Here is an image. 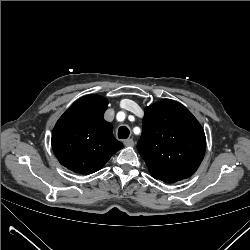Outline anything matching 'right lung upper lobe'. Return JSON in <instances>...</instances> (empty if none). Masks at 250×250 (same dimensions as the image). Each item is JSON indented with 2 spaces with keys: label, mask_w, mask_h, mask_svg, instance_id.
<instances>
[{
  "label": "right lung upper lobe",
  "mask_w": 250,
  "mask_h": 250,
  "mask_svg": "<svg viewBox=\"0 0 250 250\" xmlns=\"http://www.w3.org/2000/svg\"><path fill=\"white\" fill-rule=\"evenodd\" d=\"M108 101L98 95L77 100L57 121L52 148L59 162L73 172L91 174L100 170L123 144L113 136V126L104 120Z\"/></svg>",
  "instance_id": "obj_1"
}]
</instances>
